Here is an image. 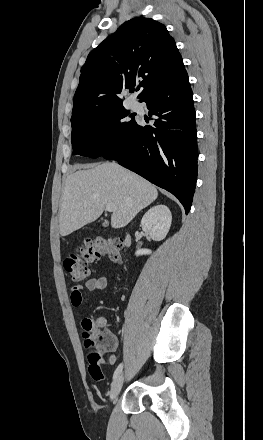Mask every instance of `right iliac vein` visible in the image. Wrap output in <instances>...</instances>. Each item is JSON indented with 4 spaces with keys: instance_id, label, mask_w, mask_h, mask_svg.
<instances>
[{
    "instance_id": "63e3f726",
    "label": "right iliac vein",
    "mask_w": 263,
    "mask_h": 440,
    "mask_svg": "<svg viewBox=\"0 0 263 440\" xmlns=\"http://www.w3.org/2000/svg\"><path fill=\"white\" fill-rule=\"evenodd\" d=\"M123 381H124V376L123 374H120L112 383L110 395H109L111 401H113L120 393V390L123 385Z\"/></svg>"
}]
</instances>
